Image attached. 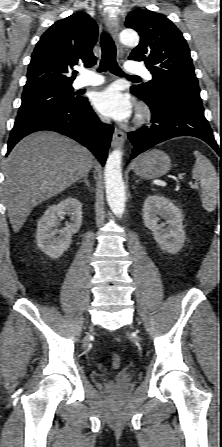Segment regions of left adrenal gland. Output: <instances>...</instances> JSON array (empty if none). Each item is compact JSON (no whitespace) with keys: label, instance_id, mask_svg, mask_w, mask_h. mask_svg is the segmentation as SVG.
Instances as JSON below:
<instances>
[{"label":"left adrenal gland","instance_id":"1","mask_svg":"<svg viewBox=\"0 0 222 447\" xmlns=\"http://www.w3.org/2000/svg\"><path fill=\"white\" fill-rule=\"evenodd\" d=\"M139 182V180H136V183H138Z\"/></svg>","mask_w":222,"mask_h":447}]
</instances>
